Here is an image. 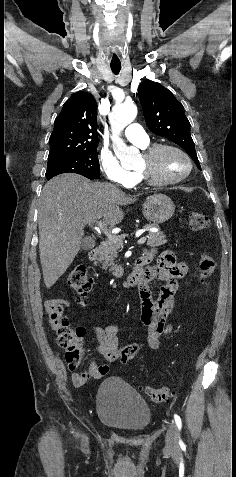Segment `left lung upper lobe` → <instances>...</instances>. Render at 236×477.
I'll use <instances>...</instances> for the list:
<instances>
[{
  "instance_id": "1",
  "label": "left lung upper lobe",
  "mask_w": 236,
  "mask_h": 477,
  "mask_svg": "<svg viewBox=\"0 0 236 477\" xmlns=\"http://www.w3.org/2000/svg\"><path fill=\"white\" fill-rule=\"evenodd\" d=\"M139 100L148 128L181 146L201 170L190 135V123L183 105L172 92L157 82L146 80L139 86Z\"/></svg>"
}]
</instances>
